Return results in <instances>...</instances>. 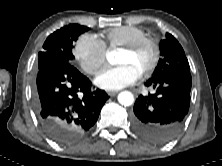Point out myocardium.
I'll return each mask as SVG.
<instances>
[{
	"instance_id": "myocardium-1",
	"label": "myocardium",
	"mask_w": 222,
	"mask_h": 166,
	"mask_svg": "<svg viewBox=\"0 0 222 166\" xmlns=\"http://www.w3.org/2000/svg\"><path fill=\"white\" fill-rule=\"evenodd\" d=\"M143 46H150L153 51L152 60L149 66L141 73L142 76H147L156 69L160 60V47L157 41L153 38L143 37V38L135 40L134 42L128 45L122 46V50L126 52H130V53H134L138 51L140 48H142Z\"/></svg>"
}]
</instances>
